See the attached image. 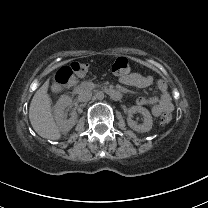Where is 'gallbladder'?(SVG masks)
Returning a JSON list of instances; mask_svg holds the SVG:
<instances>
[{
    "label": "gallbladder",
    "instance_id": "gallbladder-1",
    "mask_svg": "<svg viewBox=\"0 0 208 208\" xmlns=\"http://www.w3.org/2000/svg\"><path fill=\"white\" fill-rule=\"evenodd\" d=\"M51 90H52L53 92H58V91L60 90V85H59L58 83H53V84L51 85Z\"/></svg>",
    "mask_w": 208,
    "mask_h": 208
}]
</instances>
